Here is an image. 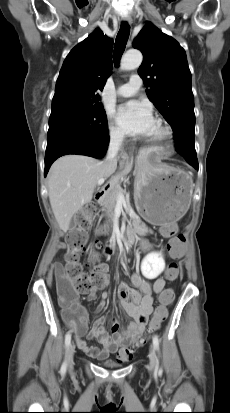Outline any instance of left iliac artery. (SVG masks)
Masks as SVG:
<instances>
[{
    "instance_id": "obj_1",
    "label": "left iliac artery",
    "mask_w": 230,
    "mask_h": 413,
    "mask_svg": "<svg viewBox=\"0 0 230 413\" xmlns=\"http://www.w3.org/2000/svg\"><path fill=\"white\" fill-rule=\"evenodd\" d=\"M153 344H154L155 349L159 350V339L156 335L153 337Z\"/></svg>"
}]
</instances>
